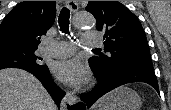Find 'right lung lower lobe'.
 <instances>
[{"instance_id": "right-lung-lower-lobe-1", "label": "right lung lower lobe", "mask_w": 171, "mask_h": 110, "mask_svg": "<svg viewBox=\"0 0 171 110\" xmlns=\"http://www.w3.org/2000/svg\"><path fill=\"white\" fill-rule=\"evenodd\" d=\"M24 70L32 73L43 84V86L52 96L55 103L59 106L62 98L65 95V92L57 87V85L54 83L53 79L50 76L49 70H38L34 68H27Z\"/></svg>"}]
</instances>
